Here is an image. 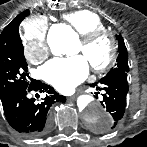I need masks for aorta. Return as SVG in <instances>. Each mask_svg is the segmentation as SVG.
Instances as JSON below:
<instances>
[{"label":"aorta","mask_w":147,"mask_h":147,"mask_svg":"<svg viewBox=\"0 0 147 147\" xmlns=\"http://www.w3.org/2000/svg\"><path fill=\"white\" fill-rule=\"evenodd\" d=\"M48 44L54 55H72L75 53L76 35L68 28L62 29L59 33L48 35ZM78 107L81 110L84 120L93 127L107 126L112 116L96 100L82 96L78 99Z\"/></svg>","instance_id":"762f6f07"}]
</instances>
